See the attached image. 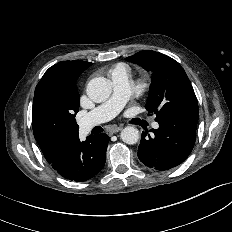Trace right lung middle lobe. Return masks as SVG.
Segmentation results:
<instances>
[{
  "mask_svg": "<svg viewBox=\"0 0 232 232\" xmlns=\"http://www.w3.org/2000/svg\"><path fill=\"white\" fill-rule=\"evenodd\" d=\"M79 93L44 84L36 87L32 111L33 133L38 144L51 145L78 131L75 115Z\"/></svg>",
  "mask_w": 232,
  "mask_h": 232,
  "instance_id": "right-lung-middle-lobe-1",
  "label": "right lung middle lobe"
}]
</instances>
